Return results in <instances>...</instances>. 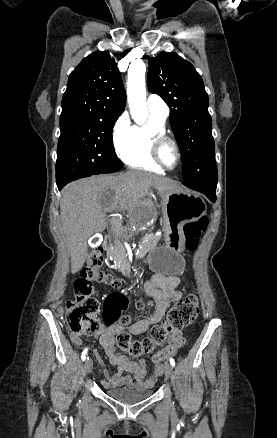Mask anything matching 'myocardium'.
<instances>
[{
	"label": "myocardium",
	"instance_id": "1",
	"mask_svg": "<svg viewBox=\"0 0 277 438\" xmlns=\"http://www.w3.org/2000/svg\"><path fill=\"white\" fill-rule=\"evenodd\" d=\"M166 144H172L176 151V162L173 166H168L162 159V149ZM150 147L154 161L164 170H174L181 161V148L179 143L166 134H152L150 137Z\"/></svg>",
	"mask_w": 277,
	"mask_h": 438
}]
</instances>
